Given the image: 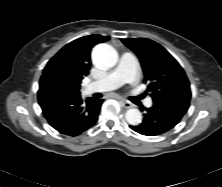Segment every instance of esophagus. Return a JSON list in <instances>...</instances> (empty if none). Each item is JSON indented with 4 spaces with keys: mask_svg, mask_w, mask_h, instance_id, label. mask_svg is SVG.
Returning <instances> with one entry per match:
<instances>
[{
    "mask_svg": "<svg viewBox=\"0 0 222 187\" xmlns=\"http://www.w3.org/2000/svg\"><path fill=\"white\" fill-rule=\"evenodd\" d=\"M121 103H122V106L124 107V108H131V107H133V104L132 103H130V102H128V101H126V100H121Z\"/></svg>",
    "mask_w": 222,
    "mask_h": 187,
    "instance_id": "esophagus-1",
    "label": "esophagus"
}]
</instances>
